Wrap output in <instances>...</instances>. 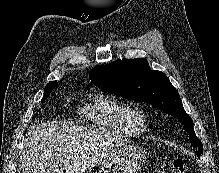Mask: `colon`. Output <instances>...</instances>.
Masks as SVG:
<instances>
[{
	"mask_svg": "<svg viewBox=\"0 0 219 173\" xmlns=\"http://www.w3.org/2000/svg\"><path fill=\"white\" fill-rule=\"evenodd\" d=\"M160 173H187V165L181 158L169 159L163 164Z\"/></svg>",
	"mask_w": 219,
	"mask_h": 173,
	"instance_id": "1",
	"label": "colon"
}]
</instances>
